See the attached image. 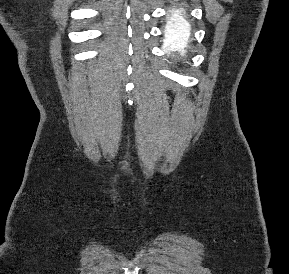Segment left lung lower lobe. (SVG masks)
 I'll return each instance as SVG.
<instances>
[{"mask_svg": "<svg viewBox=\"0 0 289 274\" xmlns=\"http://www.w3.org/2000/svg\"><path fill=\"white\" fill-rule=\"evenodd\" d=\"M171 19L173 21V25L169 26L167 30V35L169 38L184 37L188 34L187 28L185 27V25H183V23H181L179 14L173 13Z\"/></svg>", "mask_w": 289, "mask_h": 274, "instance_id": "left-lung-lower-lobe-1", "label": "left lung lower lobe"}]
</instances>
